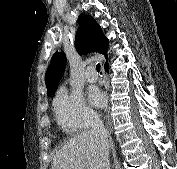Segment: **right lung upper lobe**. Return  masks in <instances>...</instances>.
I'll use <instances>...</instances> for the list:
<instances>
[{"label": "right lung upper lobe", "mask_w": 177, "mask_h": 169, "mask_svg": "<svg viewBox=\"0 0 177 169\" xmlns=\"http://www.w3.org/2000/svg\"><path fill=\"white\" fill-rule=\"evenodd\" d=\"M79 19L81 23L75 36L77 52L80 55L87 54L88 52H98L104 54L107 59L108 39L104 35L100 25L89 15L81 14ZM65 66V54L56 52L45 74L47 93L53 94L55 92L56 86L64 73Z\"/></svg>", "instance_id": "obj_1"}]
</instances>
